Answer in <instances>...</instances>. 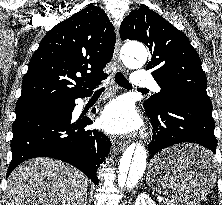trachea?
Listing matches in <instances>:
<instances>
[{
	"instance_id": "1",
	"label": "trachea",
	"mask_w": 222,
	"mask_h": 205,
	"mask_svg": "<svg viewBox=\"0 0 222 205\" xmlns=\"http://www.w3.org/2000/svg\"><path fill=\"white\" fill-rule=\"evenodd\" d=\"M115 81L118 85H120L121 87L130 89L131 88V84L129 83V81L125 78V76L121 73V72H117L115 74ZM104 87H101L99 90H103ZM140 90H146V89H140Z\"/></svg>"
}]
</instances>
